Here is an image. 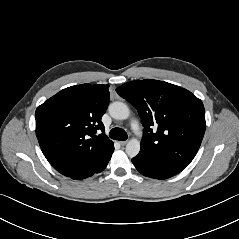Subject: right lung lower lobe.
<instances>
[{
    "instance_id": "right-lung-lower-lobe-1",
    "label": "right lung lower lobe",
    "mask_w": 239,
    "mask_h": 239,
    "mask_svg": "<svg viewBox=\"0 0 239 239\" xmlns=\"http://www.w3.org/2000/svg\"><path fill=\"white\" fill-rule=\"evenodd\" d=\"M113 151H114V150H113ZM113 151H112V153H113ZM112 153H111V154L109 155V157H108L100 166H98L97 168H94V169H92V170H90V171H88V172H86V173H84V174H81V175L72 177V179H79V180H81V179L87 178V177H89V176H92V175L95 174V173H99V172L103 171V170L106 168V166H107V164H108V162H109V160H110V158H111Z\"/></svg>"
}]
</instances>
